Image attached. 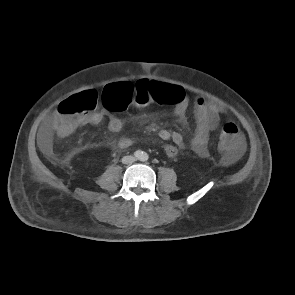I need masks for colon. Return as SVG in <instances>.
Masks as SVG:
<instances>
[{
  "mask_svg": "<svg viewBox=\"0 0 295 295\" xmlns=\"http://www.w3.org/2000/svg\"><path fill=\"white\" fill-rule=\"evenodd\" d=\"M178 94L172 85L141 81L135 85L129 82H117L107 85L102 92V102L111 112H122L132 102L145 104L147 102L173 103ZM97 93L87 90L62 101L57 109L54 130L60 137L71 135L82 125L83 119L96 107ZM241 137L238 126L233 122L223 125L220 134V147L224 151L236 149Z\"/></svg>",
  "mask_w": 295,
  "mask_h": 295,
  "instance_id": "5ec220e1",
  "label": "colon"
}]
</instances>
